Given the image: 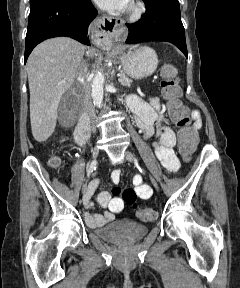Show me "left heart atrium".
Here are the masks:
<instances>
[{"label":"left heart atrium","instance_id":"left-heart-atrium-1","mask_svg":"<svg viewBox=\"0 0 240 288\" xmlns=\"http://www.w3.org/2000/svg\"><path fill=\"white\" fill-rule=\"evenodd\" d=\"M104 10L118 12L127 8L130 0H94Z\"/></svg>","mask_w":240,"mask_h":288}]
</instances>
